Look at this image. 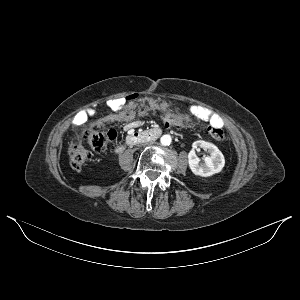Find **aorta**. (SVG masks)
<instances>
[{
    "label": "aorta",
    "mask_w": 300,
    "mask_h": 300,
    "mask_svg": "<svg viewBox=\"0 0 300 300\" xmlns=\"http://www.w3.org/2000/svg\"><path fill=\"white\" fill-rule=\"evenodd\" d=\"M172 138L170 135L166 134L160 138V142L164 146H169L171 144Z\"/></svg>",
    "instance_id": "762f6f07"
}]
</instances>
